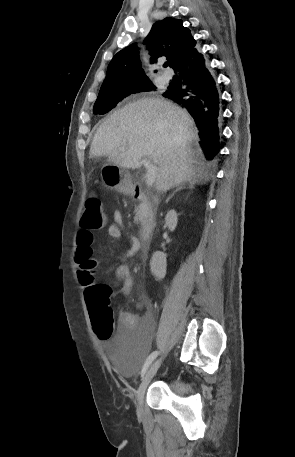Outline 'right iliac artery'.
<instances>
[{"label": "right iliac artery", "instance_id": "obj_1", "mask_svg": "<svg viewBox=\"0 0 295 457\" xmlns=\"http://www.w3.org/2000/svg\"><path fill=\"white\" fill-rule=\"evenodd\" d=\"M157 355H158V351H154L148 356V358H147V360H146V362H145V364H144V366L142 368V372H141L142 377L146 373V371H147L148 367L150 366V364L157 357Z\"/></svg>", "mask_w": 295, "mask_h": 457}]
</instances>
